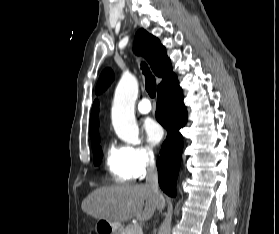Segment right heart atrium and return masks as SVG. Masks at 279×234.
Listing matches in <instances>:
<instances>
[{
	"label": "right heart atrium",
	"instance_id": "1",
	"mask_svg": "<svg viewBox=\"0 0 279 234\" xmlns=\"http://www.w3.org/2000/svg\"><path fill=\"white\" fill-rule=\"evenodd\" d=\"M130 163L136 177L145 175L156 161V152L150 144L127 147Z\"/></svg>",
	"mask_w": 279,
	"mask_h": 234
}]
</instances>
